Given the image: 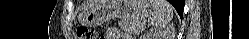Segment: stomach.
Masks as SVG:
<instances>
[{
	"label": "stomach",
	"instance_id": "1",
	"mask_svg": "<svg viewBox=\"0 0 249 39\" xmlns=\"http://www.w3.org/2000/svg\"><path fill=\"white\" fill-rule=\"evenodd\" d=\"M151 8L147 0H96L79 16V22L87 27H96L113 18L144 21Z\"/></svg>",
	"mask_w": 249,
	"mask_h": 39
}]
</instances>
